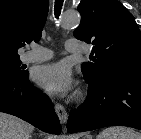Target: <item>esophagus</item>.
<instances>
[{"instance_id":"1","label":"esophagus","mask_w":141,"mask_h":139,"mask_svg":"<svg viewBox=\"0 0 141 139\" xmlns=\"http://www.w3.org/2000/svg\"><path fill=\"white\" fill-rule=\"evenodd\" d=\"M55 111H56V114H57L61 124H66L67 119H68V115H67L65 107L60 103H56L55 104Z\"/></svg>"}]
</instances>
